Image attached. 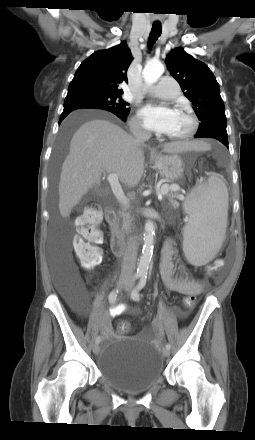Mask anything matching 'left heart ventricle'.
I'll use <instances>...</instances> for the list:
<instances>
[{"instance_id":"left-heart-ventricle-1","label":"left heart ventricle","mask_w":255,"mask_h":440,"mask_svg":"<svg viewBox=\"0 0 255 440\" xmlns=\"http://www.w3.org/2000/svg\"><path fill=\"white\" fill-rule=\"evenodd\" d=\"M189 127H190V119L188 118V116L184 112L177 110L173 129L168 135L170 136L181 135L184 132H186Z\"/></svg>"}]
</instances>
